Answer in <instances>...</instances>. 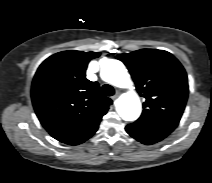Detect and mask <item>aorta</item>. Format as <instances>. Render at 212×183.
Listing matches in <instances>:
<instances>
[{
  "instance_id": "obj_1",
  "label": "aorta",
  "mask_w": 212,
  "mask_h": 183,
  "mask_svg": "<svg viewBox=\"0 0 212 183\" xmlns=\"http://www.w3.org/2000/svg\"><path fill=\"white\" fill-rule=\"evenodd\" d=\"M101 78L120 88L130 87L132 81L124 64L116 59H104L101 63ZM141 102L135 92L122 95L116 104V109L120 117L125 121H134L141 114Z\"/></svg>"
}]
</instances>
